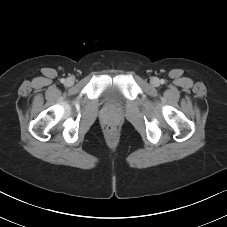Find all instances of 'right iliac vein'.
Wrapping results in <instances>:
<instances>
[{
	"instance_id": "63e3f726",
	"label": "right iliac vein",
	"mask_w": 227,
	"mask_h": 227,
	"mask_svg": "<svg viewBox=\"0 0 227 227\" xmlns=\"http://www.w3.org/2000/svg\"><path fill=\"white\" fill-rule=\"evenodd\" d=\"M65 84L67 86H72L74 84V79L73 78H67L66 81H65Z\"/></svg>"
}]
</instances>
